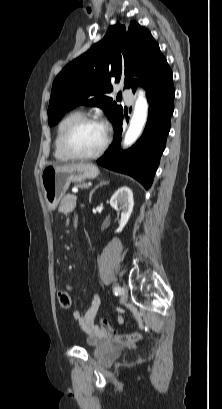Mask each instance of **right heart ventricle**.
<instances>
[{"label": "right heart ventricle", "mask_w": 222, "mask_h": 409, "mask_svg": "<svg viewBox=\"0 0 222 409\" xmlns=\"http://www.w3.org/2000/svg\"><path fill=\"white\" fill-rule=\"evenodd\" d=\"M83 117V112L74 110L67 113L58 123L54 139V157L59 161H69L71 158L64 152L62 139L67 128L76 120Z\"/></svg>", "instance_id": "right-heart-ventricle-1"}]
</instances>
